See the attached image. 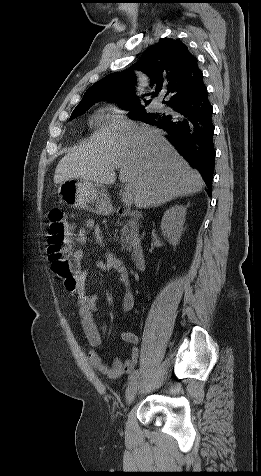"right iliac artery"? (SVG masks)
Masks as SVG:
<instances>
[{"label": "right iliac artery", "instance_id": "right-iliac-artery-1", "mask_svg": "<svg viewBox=\"0 0 261 476\" xmlns=\"http://www.w3.org/2000/svg\"><path fill=\"white\" fill-rule=\"evenodd\" d=\"M139 375V370H134L128 377L129 382L137 378Z\"/></svg>", "mask_w": 261, "mask_h": 476}]
</instances>
